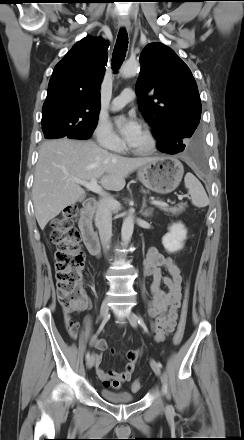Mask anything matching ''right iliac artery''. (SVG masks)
Instances as JSON below:
<instances>
[{"label": "right iliac artery", "instance_id": "right-iliac-artery-1", "mask_svg": "<svg viewBox=\"0 0 244 440\" xmlns=\"http://www.w3.org/2000/svg\"><path fill=\"white\" fill-rule=\"evenodd\" d=\"M108 319H109V315L102 321L96 334H99L103 330ZM89 358H90V352L88 351L86 354V359L88 360Z\"/></svg>", "mask_w": 244, "mask_h": 440}]
</instances>
